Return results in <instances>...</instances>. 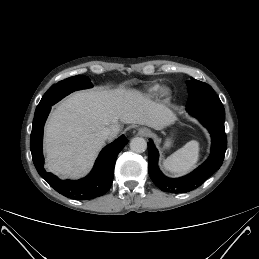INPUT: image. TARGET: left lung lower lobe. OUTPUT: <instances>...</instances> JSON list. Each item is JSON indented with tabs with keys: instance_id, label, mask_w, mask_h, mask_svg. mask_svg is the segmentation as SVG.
Returning <instances> with one entry per match:
<instances>
[{
	"instance_id": "left-lung-lower-lobe-1",
	"label": "left lung lower lobe",
	"mask_w": 259,
	"mask_h": 259,
	"mask_svg": "<svg viewBox=\"0 0 259 259\" xmlns=\"http://www.w3.org/2000/svg\"><path fill=\"white\" fill-rule=\"evenodd\" d=\"M187 111L207 127L212 138L211 154L207 161L192 173L177 179L165 177L158 168V151L148 142V170L151 180L164 192L186 193L202 185L222 165L227 138L224 128L225 110L222 103L188 108Z\"/></svg>"
}]
</instances>
